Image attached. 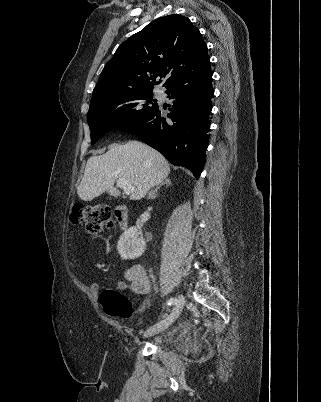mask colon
Listing matches in <instances>:
<instances>
[{"mask_svg": "<svg viewBox=\"0 0 321 402\" xmlns=\"http://www.w3.org/2000/svg\"><path fill=\"white\" fill-rule=\"evenodd\" d=\"M70 222L84 225L90 235L98 236L112 225V211L102 205H75L70 213ZM100 303L105 314L113 318L128 319L133 312L130 300L117 290L103 291Z\"/></svg>", "mask_w": 321, "mask_h": 402, "instance_id": "colon-1", "label": "colon"}]
</instances>
